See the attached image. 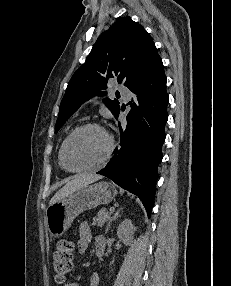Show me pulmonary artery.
<instances>
[{
  "mask_svg": "<svg viewBox=\"0 0 231 286\" xmlns=\"http://www.w3.org/2000/svg\"><path fill=\"white\" fill-rule=\"evenodd\" d=\"M118 91L120 92V94L124 97L125 100H128L130 97V91L127 87L120 85L118 87Z\"/></svg>",
  "mask_w": 231,
  "mask_h": 286,
  "instance_id": "1",
  "label": "pulmonary artery"
}]
</instances>
